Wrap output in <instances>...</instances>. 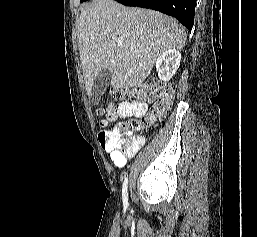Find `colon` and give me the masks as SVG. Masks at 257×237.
<instances>
[{"mask_svg":"<svg viewBox=\"0 0 257 237\" xmlns=\"http://www.w3.org/2000/svg\"><path fill=\"white\" fill-rule=\"evenodd\" d=\"M120 95L127 100H145L152 103L153 106L146 117L128 120L117 127L116 131L107 129L108 111L106 113L105 110H99V114L103 116L100 121L101 130L99 133L100 142L103 146L107 145L114 148L117 145H123L127 132L140 131L147 126L154 125L170 105L173 97V86L170 84L148 83L135 89L125 90Z\"/></svg>","mask_w":257,"mask_h":237,"instance_id":"obj_1","label":"colon"}]
</instances>
